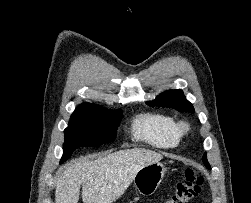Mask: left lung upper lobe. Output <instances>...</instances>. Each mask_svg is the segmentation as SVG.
Wrapping results in <instances>:
<instances>
[{"instance_id":"obj_1","label":"left lung upper lobe","mask_w":251,"mask_h":203,"mask_svg":"<svg viewBox=\"0 0 251 203\" xmlns=\"http://www.w3.org/2000/svg\"><path fill=\"white\" fill-rule=\"evenodd\" d=\"M147 104L150 106L170 107L181 112H195L193 105L186 100L181 90L166 91L158 95L155 100L147 102ZM203 162L208 169H211L206 153L203 155Z\"/></svg>"}]
</instances>
